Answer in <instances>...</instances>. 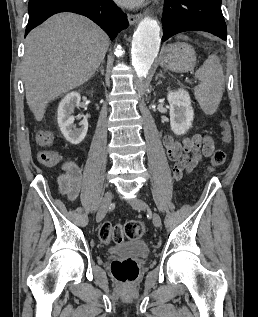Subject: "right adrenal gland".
<instances>
[{
  "mask_svg": "<svg viewBox=\"0 0 258 317\" xmlns=\"http://www.w3.org/2000/svg\"><path fill=\"white\" fill-rule=\"evenodd\" d=\"M103 62H104V60H102V62H101V66H99V68H97V72H99V70H100L101 74H104V66H103Z\"/></svg>",
  "mask_w": 258,
  "mask_h": 317,
  "instance_id": "1",
  "label": "right adrenal gland"
}]
</instances>
